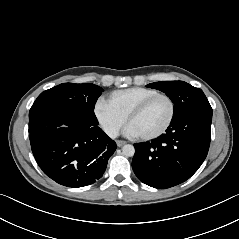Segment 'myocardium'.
Segmentation results:
<instances>
[{"mask_svg": "<svg viewBox=\"0 0 239 239\" xmlns=\"http://www.w3.org/2000/svg\"><path fill=\"white\" fill-rule=\"evenodd\" d=\"M158 98H165L168 100L170 107H171V113H170V117L168 119V121L166 122V124L157 132H154L152 134H148V135H141L138 136L141 140H153L156 138H159L160 136H162L163 134H165L169 128L171 127V125L173 124V121L175 119V115H176V104L174 99L165 93H156L154 95H151L149 97H147L146 99H144L143 101H141L139 104H137L127 115V122L130 123V121L137 115H139L141 112H143L154 100L158 99Z\"/></svg>", "mask_w": 239, "mask_h": 239, "instance_id": "myocardium-1", "label": "myocardium"}]
</instances>
